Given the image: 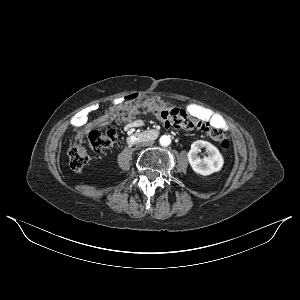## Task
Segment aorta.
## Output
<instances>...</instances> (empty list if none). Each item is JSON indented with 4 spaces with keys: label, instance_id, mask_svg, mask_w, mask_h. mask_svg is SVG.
<instances>
[{
    "label": "aorta",
    "instance_id": "obj_1",
    "mask_svg": "<svg viewBox=\"0 0 300 300\" xmlns=\"http://www.w3.org/2000/svg\"><path fill=\"white\" fill-rule=\"evenodd\" d=\"M159 142L161 146H169L171 143V138L169 135H163L160 137Z\"/></svg>",
    "mask_w": 300,
    "mask_h": 300
}]
</instances>
